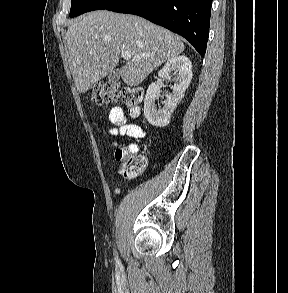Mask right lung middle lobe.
<instances>
[{
  "instance_id": "dd1d6c3e",
  "label": "right lung middle lobe",
  "mask_w": 288,
  "mask_h": 293,
  "mask_svg": "<svg viewBox=\"0 0 288 293\" xmlns=\"http://www.w3.org/2000/svg\"><path fill=\"white\" fill-rule=\"evenodd\" d=\"M70 17L81 15L85 12L107 9L119 0H71Z\"/></svg>"
}]
</instances>
